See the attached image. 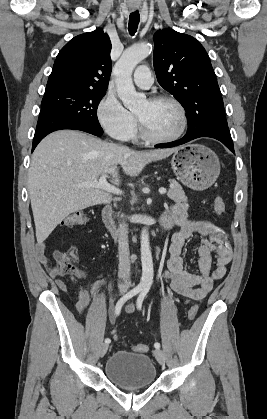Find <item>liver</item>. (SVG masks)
Masks as SVG:
<instances>
[{
  "mask_svg": "<svg viewBox=\"0 0 267 419\" xmlns=\"http://www.w3.org/2000/svg\"><path fill=\"white\" fill-rule=\"evenodd\" d=\"M177 149L136 151L74 130L46 136L32 154L28 174L38 244L71 213L111 200L107 191L83 183L109 174L112 183L119 186L118 165L134 177L146 164L164 159Z\"/></svg>",
  "mask_w": 267,
  "mask_h": 419,
  "instance_id": "1",
  "label": "liver"
}]
</instances>
